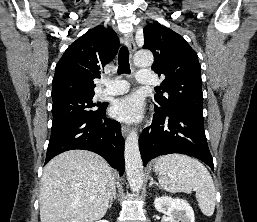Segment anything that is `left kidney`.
<instances>
[{
  "instance_id": "5707ae66",
  "label": "left kidney",
  "mask_w": 257,
  "mask_h": 222,
  "mask_svg": "<svg viewBox=\"0 0 257 222\" xmlns=\"http://www.w3.org/2000/svg\"><path fill=\"white\" fill-rule=\"evenodd\" d=\"M154 207L168 216L170 222H195L194 211L187 201L170 196L156 197Z\"/></svg>"
}]
</instances>
